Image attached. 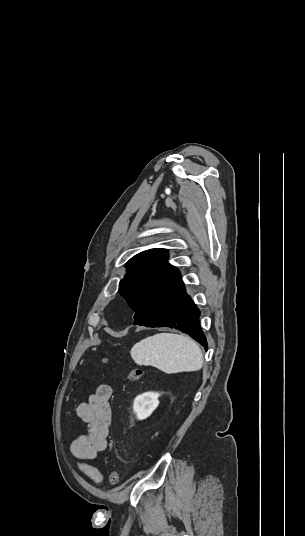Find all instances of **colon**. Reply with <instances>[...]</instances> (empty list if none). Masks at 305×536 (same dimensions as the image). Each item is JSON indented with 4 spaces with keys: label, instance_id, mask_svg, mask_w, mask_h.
Returning <instances> with one entry per match:
<instances>
[{
    "label": "colon",
    "instance_id": "obj_1",
    "mask_svg": "<svg viewBox=\"0 0 305 536\" xmlns=\"http://www.w3.org/2000/svg\"><path fill=\"white\" fill-rule=\"evenodd\" d=\"M143 372L140 368H132L129 370L127 376L130 381H138L141 379ZM109 480L112 485H116L119 480L118 473L115 470H111L109 473Z\"/></svg>",
    "mask_w": 305,
    "mask_h": 536
}]
</instances>
